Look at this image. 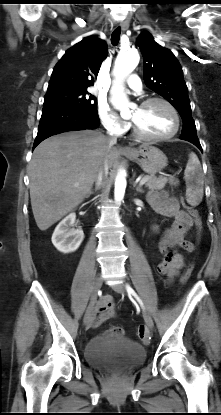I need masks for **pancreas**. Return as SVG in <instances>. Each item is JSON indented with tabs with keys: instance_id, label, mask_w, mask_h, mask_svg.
I'll use <instances>...</instances> for the list:
<instances>
[{
	"instance_id": "obj_1",
	"label": "pancreas",
	"mask_w": 221,
	"mask_h": 415,
	"mask_svg": "<svg viewBox=\"0 0 221 415\" xmlns=\"http://www.w3.org/2000/svg\"><path fill=\"white\" fill-rule=\"evenodd\" d=\"M148 178L145 186L150 190H161L167 182H174V179L167 177L146 176Z\"/></svg>"
}]
</instances>
